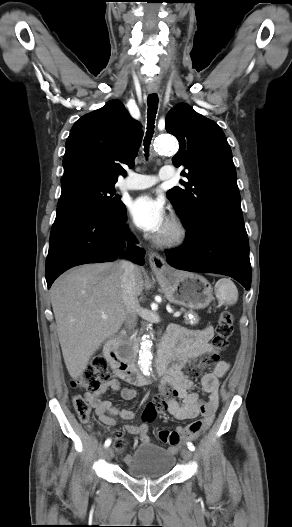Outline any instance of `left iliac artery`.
Here are the masks:
<instances>
[{"instance_id": "44dca946", "label": "left iliac artery", "mask_w": 292, "mask_h": 527, "mask_svg": "<svg viewBox=\"0 0 292 527\" xmlns=\"http://www.w3.org/2000/svg\"><path fill=\"white\" fill-rule=\"evenodd\" d=\"M187 447H188V449L191 450V451L194 450V445H193V443H191V442H188V443H187Z\"/></svg>"}]
</instances>
